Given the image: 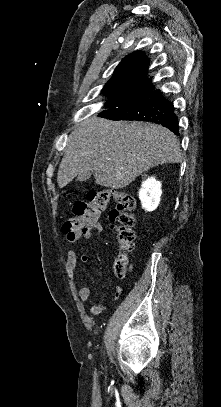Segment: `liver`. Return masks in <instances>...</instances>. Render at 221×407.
Listing matches in <instances>:
<instances>
[{
    "label": "liver",
    "instance_id": "6515ba94",
    "mask_svg": "<svg viewBox=\"0 0 221 407\" xmlns=\"http://www.w3.org/2000/svg\"><path fill=\"white\" fill-rule=\"evenodd\" d=\"M181 161L179 140L167 128L92 116L70 134L57 183L63 188L81 172L91 171L96 184L118 190L152 167Z\"/></svg>",
    "mask_w": 221,
    "mask_h": 407
}]
</instances>
